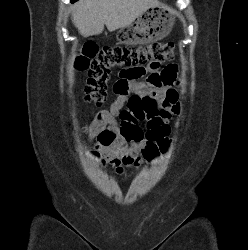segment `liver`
<instances>
[{
	"mask_svg": "<svg viewBox=\"0 0 248 250\" xmlns=\"http://www.w3.org/2000/svg\"><path fill=\"white\" fill-rule=\"evenodd\" d=\"M158 0H79L73 6L72 22L84 37L99 35L104 25L110 32L130 25Z\"/></svg>",
	"mask_w": 248,
	"mask_h": 250,
	"instance_id": "obj_1",
	"label": "liver"
}]
</instances>
